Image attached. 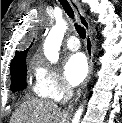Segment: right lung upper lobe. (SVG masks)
Wrapping results in <instances>:
<instances>
[{
	"label": "right lung upper lobe",
	"mask_w": 122,
	"mask_h": 123,
	"mask_svg": "<svg viewBox=\"0 0 122 123\" xmlns=\"http://www.w3.org/2000/svg\"><path fill=\"white\" fill-rule=\"evenodd\" d=\"M27 52H28V49L25 51H21V52L16 51L15 58H13L11 65H10V70L19 66L21 63H23L25 61Z\"/></svg>",
	"instance_id": "cb5924a9"
}]
</instances>
